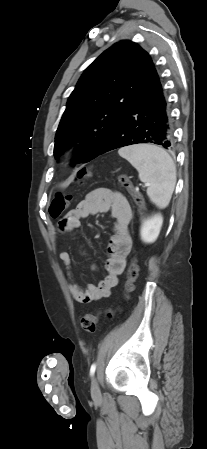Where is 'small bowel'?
Segmentation results:
<instances>
[{"mask_svg": "<svg viewBox=\"0 0 207 449\" xmlns=\"http://www.w3.org/2000/svg\"><path fill=\"white\" fill-rule=\"evenodd\" d=\"M109 211L114 220L113 233L108 246L109 256L105 264V274L97 285L91 284L83 289L73 277L70 254L66 251L59 254L60 260L67 269L69 290L80 303H90L107 297L112 288L118 284L119 276L125 269L132 248L130 234L132 209L121 193L109 188H98L88 193L59 223L62 232L73 233L80 227L84 218L91 214ZM79 251L83 253L81 249Z\"/></svg>", "mask_w": 207, "mask_h": 449, "instance_id": "1", "label": "small bowel"}]
</instances>
